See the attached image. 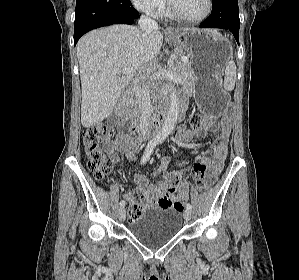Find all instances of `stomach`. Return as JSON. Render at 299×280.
Segmentation results:
<instances>
[{
    "mask_svg": "<svg viewBox=\"0 0 299 280\" xmlns=\"http://www.w3.org/2000/svg\"><path fill=\"white\" fill-rule=\"evenodd\" d=\"M168 38L190 55L199 109L206 115H220L227 101L220 77L232 56L230 42L212 29L177 31Z\"/></svg>",
    "mask_w": 299,
    "mask_h": 280,
    "instance_id": "0dacf381",
    "label": "stomach"
}]
</instances>
